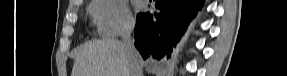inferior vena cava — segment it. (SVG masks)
<instances>
[{
    "label": "inferior vena cava",
    "mask_w": 287,
    "mask_h": 76,
    "mask_svg": "<svg viewBox=\"0 0 287 76\" xmlns=\"http://www.w3.org/2000/svg\"><path fill=\"white\" fill-rule=\"evenodd\" d=\"M134 30V24H128L122 34V43L124 46L125 55L130 64V76H142V66L138 57V51L134 45V39L131 34Z\"/></svg>",
    "instance_id": "obj_1"
}]
</instances>
